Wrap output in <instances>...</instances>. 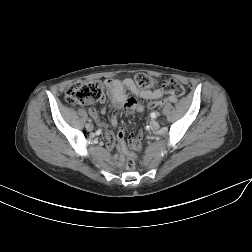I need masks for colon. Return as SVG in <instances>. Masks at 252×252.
Segmentation results:
<instances>
[{
	"mask_svg": "<svg viewBox=\"0 0 252 252\" xmlns=\"http://www.w3.org/2000/svg\"><path fill=\"white\" fill-rule=\"evenodd\" d=\"M134 82L140 89H148L154 85V79L146 73L136 74ZM161 88L165 93L176 97H179L184 93L183 85L175 79H168L164 81ZM66 97L71 103H85L89 101L102 100L104 98V93L100 82H79L67 90ZM160 104V102H150L148 107L154 108ZM141 136L140 132L135 131L130 134V145L134 149L140 148ZM125 166L128 170H131L134 167V158L130 153H127Z\"/></svg>",
	"mask_w": 252,
	"mask_h": 252,
	"instance_id": "colon-1",
	"label": "colon"
}]
</instances>
